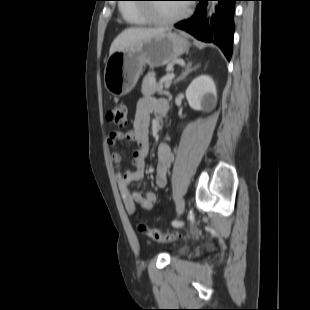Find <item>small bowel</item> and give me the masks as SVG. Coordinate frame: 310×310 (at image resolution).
Instances as JSON below:
<instances>
[{"label": "small bowel", "instance_id": "c3829d8e", "mask_svg": "<svg viewBox=\"0 0 310 310\" xmlns=\"http://www.w3.org/2000/svg\"><path fill=\"white\" fill-rule=\"evenodd\" d=\"M169 105L165 100H156L151 97L141 98L136 107V113L132 128L127 132L112 131L108 138V145L115 148L119 141L126 139L134 142L137 149L133 153V170L120 172L118 176V188L124 206L131 215H137L139 204L145 210H151L156 201V194L147 189L143 184L144 192L131 189L134 182L143 183L145 173V161L149 151V126L150 116L156 113L160 117L166 116ZM115 165H120L122 157L119 152L113 151L111 154ZM174 160V155L167 144H160L158 147V164L156 167L155 183L157 187L164 188L167 184V172Z\"/></svg>", "mask_w": 310, "mask_h": 310}]
</instances>
